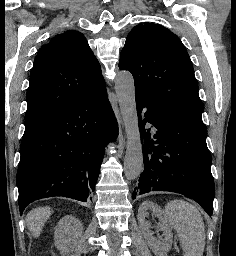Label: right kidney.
Here are the masks:
<instances>
[{
    "mask_svg": "<svg viewBox=\"0 0 236 256\" xmlns=\"http://www.w3.org/2000/svg\"><path fill=\"white\" fill-rule=\"evenodd\" d=\"M54 244L61 256H68L83 244V224L75 216H64L55 228Z\"/></svg>",
    "mask_w": 236,
    "mask_h": 256,
    "instance_id": "obj_1",
    "label": "right kidney"
}]
</instances>
